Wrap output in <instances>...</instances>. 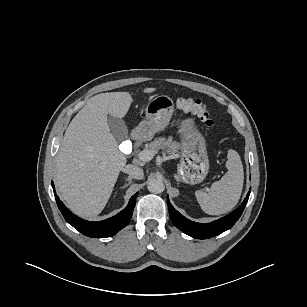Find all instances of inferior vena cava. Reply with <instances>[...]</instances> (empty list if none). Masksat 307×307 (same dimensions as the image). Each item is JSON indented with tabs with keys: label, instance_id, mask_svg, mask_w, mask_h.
Returning <instances> with one entry per match:
<instances>
[{
	"label": "inferior vena cava",
	"instance_id": "602c4592",
	"mask_svg": "<svg viewBox=\"0 0 307 307\" xmlns=\"http://www.w3.org/2000/svg\"><path fill=\"white\" fill-rule=\"evenodd\" d=\"M123 172L129 174L130 176L134 177L135 179H143L144 173L143 170L135 165H126L123 169Z\"/></svg>",
	"mask_w": 307,
	"mask_h": 307
}]
</instances>
